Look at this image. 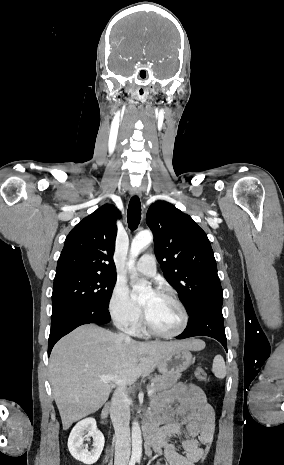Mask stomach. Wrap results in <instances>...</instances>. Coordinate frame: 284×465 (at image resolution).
Wrapping results in <instances>:
<instances>
[{
	"mask_svg": "<svg viewBox=\"0 0 284 465\" xmlns=\"http://www.w3.org/2000/svg\"><path fill=\"white\" fill-rule=\"evenodd\" d=\"M190 365H193V357L188 349L176 347L175 351L167 353L160 361H157L158 371L163 375L176 373V371H186Z\"/></svg>",
	"mask_w": 284,
	"mask_h": 465,
	"instance_id": "obj_1",
	"label": "stomach"
}]
</instances>
